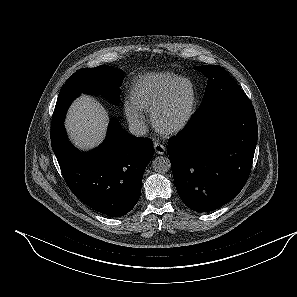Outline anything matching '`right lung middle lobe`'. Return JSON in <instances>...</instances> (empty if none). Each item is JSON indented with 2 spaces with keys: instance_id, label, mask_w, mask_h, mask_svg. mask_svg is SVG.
<instances>
[{
  "instance_id": "1",
  "label": "right lung middle lobe",
  "mask_w": 297,
  "mask_h": 297,
  "mask_svg": "<svg viewBox=\"0 0 297 297\" xmlns=\"http://www.w3.org/2000/svg\"><path fill=\"white\" fill-rule=\"evenodd\" d=\"M123 76V71L104 65L85 68L71 75L60 90L52 117L51 133L59 130L69 105L81 93L101 94L118 102Z\"/></svg>"
}]
</instances>
